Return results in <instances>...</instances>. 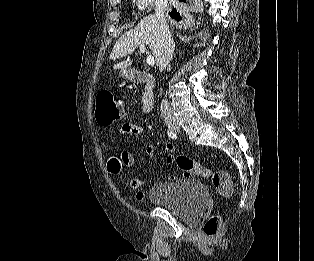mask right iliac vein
Instances as JSON below:
<instances>
[{"label": "right iliac vein", "mask_w": 314, "mask_h": 261, "mask_svg": "<svg viewBox=\"0 0 314 261\" xmlns=\"http://www.w3.org/2000/svg\"><path fill=\"white\" fill-rule=\"evenodd\" d=\"M169 127L172 129V130H178L179 129V125L177 122H170L169 124Z\"/></svg>", "instance_id": "obj_1"}]
</instances>
